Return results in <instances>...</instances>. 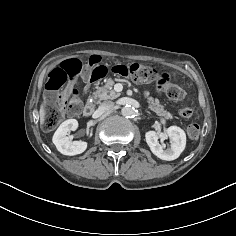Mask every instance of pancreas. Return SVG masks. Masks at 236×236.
I'll return each mask as SVG.
<instances>
[{
    "instance_id": "cf45deb5",
    "label": "pancreas",
    "mask_w": 236,
    "mask_h": 236,
    "mask_svg": "<svg viewBox=\"0 0 236 236\" xmlns=\"http://www.w3.org/2000/svg\"><path fill=\"white\" fill-rule=\"evenodd\" d=\"M115 82L113 80H108L105 85L98 87L93 93V98L96 103H101L102 100L115 99L120 96V93H117L113 90V85ZM144 97L147 100L148 108L156 113L158 116L171 120L173 115L164 109V106L160 104L158 99H154L150 96L149 91H144Z\"/></svg>"
}]
</instances>
